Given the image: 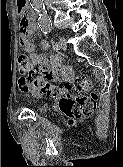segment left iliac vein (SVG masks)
<instances>
[{"instance_id": "4c4485c4", "label": "left iliac vein", "mask_w": 123, "mask_h": 167, "mask_svg": "<svg viewBox=\"0 0 123 167\" xmlns=\"http://www.w3.org/2000/svg\"><path fill=\"white\" fill-rule=\"evenodd\" d=\"M59 45H60V49L65 50L67 48V42L66 39L61 37L58 41Z\"/></svg>"}]
</instances>
